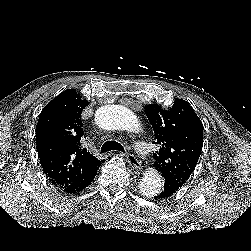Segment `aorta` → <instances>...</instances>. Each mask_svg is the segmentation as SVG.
Returning a JSON list of instances; mask_svg holds the SVG:
<instances>
[{
	"instance_id": "762f6f07",
	"label": "aorta",
	"mask_w": 251,
	"mask_h": 251,
	"mask_svg": "<svg viewBox=\"0 0 251 251\" xmlns=\"http://www.w3.org/2000/svg\"><path fill=\"white\" fill-rule=\"evenodd\" d=\"M96 124L105 130H121L137 132L139 121L136 115L127 107L121 105H106L100 107L95 114ZM162 189L160 175L155 170L145 172L139 184L140 193L151 198L156 196Z\"/></svg>"
}]
</instances>
